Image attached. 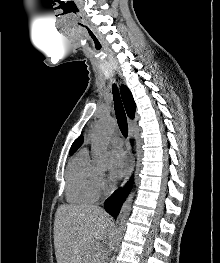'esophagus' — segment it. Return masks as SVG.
Masks as SVG:
<instances>
[{"label":"esophagus","instance_id":"esophagus-1","mask_svg":"<svg viewBox=\"0 0 220 263\" xmlns=\"http://www.w3.org/2000/svg\"><path fill=\"white\" fill-rule=\"evenodd\" d=\"M132 133H133V130L132 128L130 127L129 128V138L132 137ZM134 164H135V159H134V156L132 153H130V156H129V166H128V170H127V173H126V176H125V179H124V182L122 184V187L126 184V182L129 180L132 172H133V169H134Z\"/></svg>","mask_w":220,"mask_h":263}]
</instances>
